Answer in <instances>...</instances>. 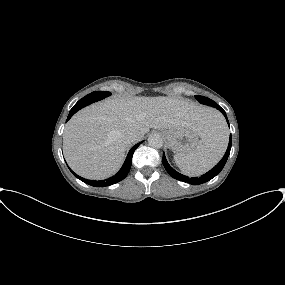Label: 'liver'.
Here are the masks:
<instances>
[{
    "label": "liver",
    "mask_w": 285,
    "mask_h": 285,
    "mask_svg": "<svg viewBox=\"0 0 285 285\" xmlns=\"http://www.w3.org/2000/svg\"><path fill=\"white\" fill-rule=\"evenodd\" d=\"M220 114L212 108L172 97H114L77 112L66 124L63 152L78 175L101 180L121 167L126 147L123 135L140 139L150 128L189 129L201 138L212 133Z\"/></svg>",
    "instance_id": "1"
}]
</instances>
